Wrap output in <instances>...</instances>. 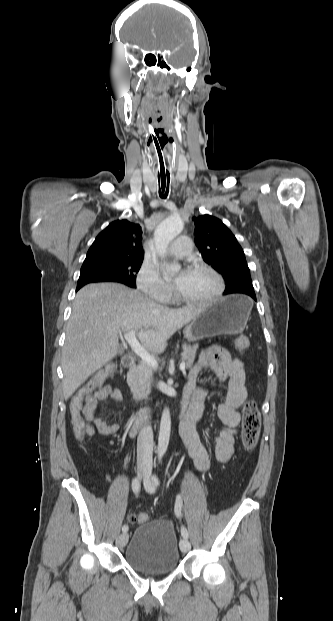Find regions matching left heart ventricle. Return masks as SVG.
<instances>
[{"label": "left heart ventricle", "mask_w": 333, "mask_h": 621, "mask_svg": "<svg viewBox=\"0 0 333 621\" xmlns=\"http://www.w3.org/2000/svg\"><path fill=\"white\" fill-rule=\"evenodd\" d=\"M217 287V281L210 273L188 270L177 290L187 298L205 299L211 297Z\"/></svg>", "instance_id": "left-heart-ventricle-1"}]
</instances>
